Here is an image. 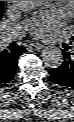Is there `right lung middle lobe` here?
I'll return each instance as SVG.
<instances>
[{
    "label": "right lung middle lobe",
    "instance_id": "1",
    "mask_svg": "<svg viewBox=\"0 0 74 122\" xmlns=\"http://www.w3.org/2000/svg\"><path fill=\"white\" fill-rule=\"evenodd\" d=\"M2 8H3V1H0V18H1V15H2Z\"/></svg>",
    "mask_w": 74,
    "mask_h": 122
}]
</instances>
